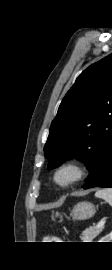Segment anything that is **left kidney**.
<instances>
[{
  "label": "left kidney",
  "mask_w": 112,
  "mask_h": 270,
  "mask_svg": "<svg viewBox=\"0 0 112 270\" xmlns=\"http://www.w3.org/2000/svg\"><path fill=\"white\" fill-rule=\"evenodd\" d=\"M103 240H112V232L107 235L106 237L102 238V240L100 242H103Z\"/></svg>",
  "instance_id": "5707ae66"
}]
</instances>
